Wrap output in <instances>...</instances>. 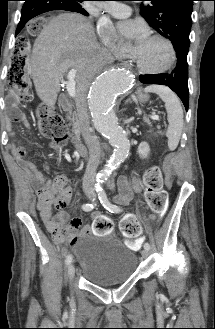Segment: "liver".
<instances>
[{
	"instance_id": "1",
	"label": "liver",
	"mask_w": 215,
	"mask_h": 329,
	"mask_svg": "<svg viewBox=\"0 0 215 329\" xmlns=\"http://www.w3.org/2000/svg\"><path fill=\"white\" fill-rule=\"evenodd\" d=\"M100 47L91 22L76 13L54 17L35 40L27 62L38 97L53 107L60 91V78L75 69L77 94L88 88L101 69Z\"/></svg>"
}]
</instances>
